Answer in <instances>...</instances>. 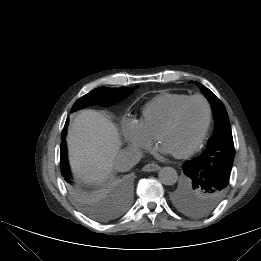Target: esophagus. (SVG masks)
<instances>
[{
	"instance_id": "esophagus-1",
	"label": "esophagus",
	"mask_w": 261,
	"mask_h": 261,
	"mask_svg": "<svg viewBox=\"0 0 261 261\" xmlns=\"http://www.w3.org/2000/svg\"><path fill=\"white\" fill-rule=\"evenodd\" d=\"M159 169H160V165L155 163H150L145 165L142 170L145 172H155L158 171Z\"/></svg>"
}]
</instances>
